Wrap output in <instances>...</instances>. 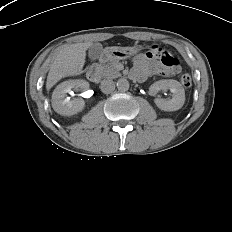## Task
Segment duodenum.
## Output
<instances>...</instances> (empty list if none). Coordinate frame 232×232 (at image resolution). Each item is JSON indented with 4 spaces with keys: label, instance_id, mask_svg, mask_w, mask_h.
<instances>
[{
    "label": "duodenum",
    "instance_id": "410a0bca",
    "mask_svg": "<svg viewBox=\"0 0 232 232\" xmlns=\"http://www.w3.org/2000/svg\"><path fill=\"white\" fill-rule=\"evenodd\" d=\"M87 78L91 82H97L99 80V70L96 65H92L87 71Z\"/></svg>",
    "mask_w": 232,
    "mask_h": 232
}]
</instances>
